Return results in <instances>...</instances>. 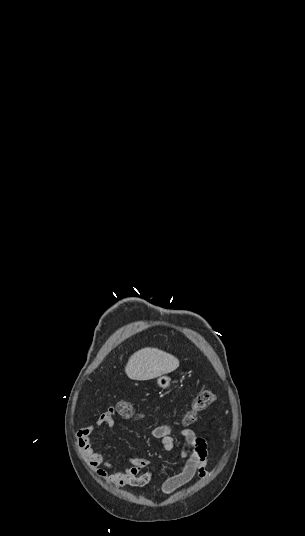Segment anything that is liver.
Returning a JSON list of instances; mask_svg holds the SVG:
<instances>
[{
  "label": "liver",
  "mask_w": 305,
  "mask_h": 536,
  "mask_svg": "<svg viewBox=\"0 0 305 536\" xmlns=\"http://www.w3.org/2000/svg\"><path fill=\"white\" fill-rule=\"evenodd\" d=\"M179 366V360L157 348H143L129 358L125 372L130 380H153L170 374Z\"/></svg>",
  "instance_id": "1"
}]
</instances>
